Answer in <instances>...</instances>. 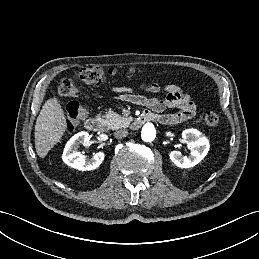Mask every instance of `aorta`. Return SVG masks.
<instances>
[{"label": "aorta", "mask_w": 259, "mask_h": 259, "mask_svg": "<svg viewBox=\"0 0 259 259\" xmlns=\"http://www.w3.org/2000/svg\"><path fill=\"white\" fill-rule=\"evenodd\" d=\"M142 140L145 142H151L156 137V130L152 123H146L142 127L141 131Z\"/></svg>", "instance_id": "obj_1"}]
</instances>
